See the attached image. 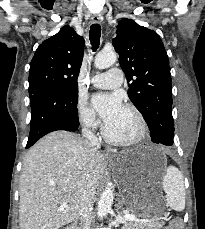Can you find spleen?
<instances>
[{"label": "spleen", "mask_w": 205, "mask_h": 229, "mask_svg": "<svg viewBox=\"0 0 205 229\" xmlns=\"http://www.w3.org/2000/svg\"><path fill=\"white\" fill-rule=\"evenodd\" d=\"M166 193L167 205L175 211H183L185 208V188L182 173L175 166L170 165L162 182Z\"/></svg>", "instance_id": "1"}]
</instances>
